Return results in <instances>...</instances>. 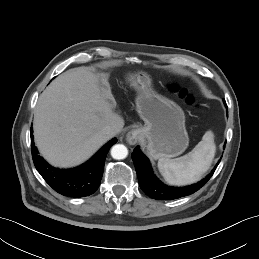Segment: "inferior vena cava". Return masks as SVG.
<instances>
[{
	"instance_id": "obj_1",
	"label": "inferior vena cava",
	"mask_w": 259,
	"mask_h": 259,
	"mask_svg": "<svg viewBox=\"0 0 259 259\" xmlns=\"http://www.w3.org/2000/svg\"><path fill=\"white\" fill-rule=\"evenodd\" d=\"M103 132L109 136L113 137L118 133V128L115 125H107L104 129Z\"/></svg>"
}]
</instances>
